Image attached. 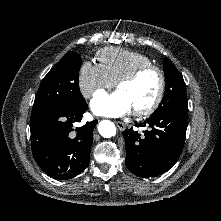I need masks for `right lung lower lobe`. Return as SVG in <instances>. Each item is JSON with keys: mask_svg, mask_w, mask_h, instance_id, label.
<instances>
[{"mask_svg": "<svg viewBox=\"0 0 221 221\" xmlns=\"http://www.w3.org/2000/svg\"><path fill=\"white\" fill-rule=\"evenodd\" d=\"M86 110V102L79 107L58 108L30 125L34 159L49 176L71 179L89 164L97 120L73 129Z\"/></svg>", "mask_w": 221, "mask_h": 221, "instance_id": "right-lung-lower-lobe-1", "label": "right lung lower lobe"}]
</instances>
